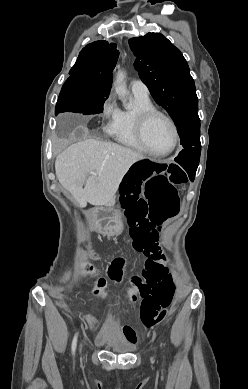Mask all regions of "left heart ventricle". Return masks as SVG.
Segmentation results:
<instances>
[{"label": "left heart ventricle", "instance_id": "obj_1", "mask_svg": "<svg viewBox=\"0 0 248 389\" xmlns=\"http://www.w3.org/2000/svg\"><path fill=\"white\" fill-rule=\"evenodd\" d=\"M145 139L149 148L155 152H165L173 144V133L169 123L160 116H154L145 129Z\"/></svg>", "mask_w": 248, "mask_h": 389}]
</instances>
